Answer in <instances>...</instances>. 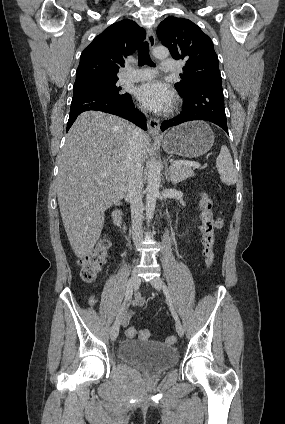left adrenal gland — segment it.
<instances>
[{
    "label": "left adrenal gland",
    "mask_w": 285,
    "mask_h": 424,
    "mask_svg": "<svg viewBox=\"0 0 285 424\" xmlns=\"http://www.w3.org/2000/svg\"><path fill=\"white\" fill-rule=\"evenodd\" d=\"M165 179L170 182V177H169V169H168V165L166 164V169H165Z\"/></svg>",
    "instance_id": "left-adrenal-gland-1"
}]
</instances>
